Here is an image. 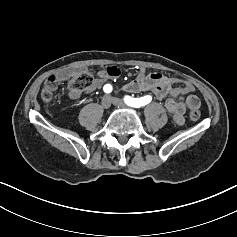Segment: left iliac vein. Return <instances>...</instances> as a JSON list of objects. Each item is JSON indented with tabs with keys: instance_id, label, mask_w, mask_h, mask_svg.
Returning <instances> with one entry per match:
<instances>
[{
	"instance_id": "4c4485c4",
	"label": "left iliac vein",
	"mask_w": 237,
	"mask_h": 237,
	"mask_svg": "<svg viewBox=\"0 0 237 237\" xmlns=\"http://www.w3.org/2000/svg\"><path fill=\"white\" fill-rule=\"evenodd\" d=\"M111 103L116 106V107H120V108H128V106L126 105L125 102H123L121 99H117L114 97H111Z\"/></svg>"
}]
</instances>
